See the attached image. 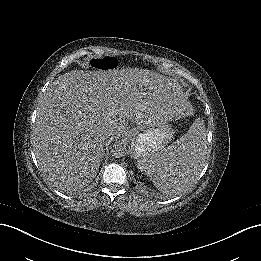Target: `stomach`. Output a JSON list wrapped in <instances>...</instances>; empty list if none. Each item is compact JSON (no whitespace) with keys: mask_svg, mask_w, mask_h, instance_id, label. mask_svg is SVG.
<instances>
[{"mask_svg":"<svg viewBox=\"0 0 261 261\" xmlns=\"http://www.w3.org/2000/svg\"><path fill=\"white\" fill-rule=\"evenodd\" d=\"M130 154L139 160L159 152L170 135L161 116H151L130 131Z\"/></svg>","mask_w":261,"mask_h":261,"instance_id":"1","label":"stomach"}]
</instances>
